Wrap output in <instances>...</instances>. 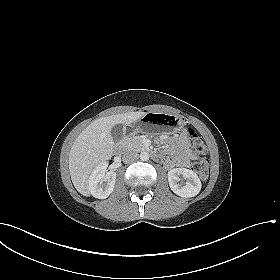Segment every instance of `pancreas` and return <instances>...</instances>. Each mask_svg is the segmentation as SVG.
I'll list each match as a JSON object with an SVG mask.
<instances>
[{
  "mask_svg": "<svg viewBox=\"0 0 280 280\" xmlns=\"http://www.w3.org/2000/svg\"><path fill=\"white\" fill-rule=\"evenodd\" d=\"M142 141L143 139L141 136L128 137L124 141V147L127 150L139 152L145 149V146L143 145Z\"/></svg>",
  "mask_w": 280,
  "mask_h": 280,
  "instance_id": "pancreas-1",
  "label": "pancreas"
}]
</instances>
